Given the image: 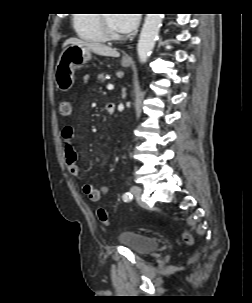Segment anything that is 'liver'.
I'll return each mask as SVG.
<instances>
[{"label":"liver","mask_w":252,"mask_h":303,"mask_svg":"<svg viewBox=\"0 0 252 303\" xmlns=\"http://www.w3.org/2000/svg\"><path fill=\"white\" fill-rule=\"evenodd\" d=\"M71 44L85 46L89 50H91L94 53H96L97 55H101V56L119 57V55H120L116 49H113V48H111L109 46H106L102 43L88 42V41H84V40H81V39H78V38H75V37L67 39L64 42L63 47H66V46L71 45Z\"/></svg>","instance_id":"1"}]
</instances>
